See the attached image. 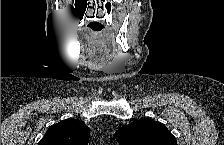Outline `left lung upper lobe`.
Wrapping results in <instances>:
<instances>
[{
  "label": "left lung upper lobe",
  "mask_w": 224,
  "mask_h": 145,
  "mask_svg": "<svg viewBox=\"0 0 224 145\" xmlns=\"http://www.w3.org/2000/svg\"><path fill=\"white\" fill-rule=\"evenodd\" d=\"M120 145H177L167 127L152 119H141L115 132Z\"/></svg>",
  "instance_id": "5c2ea615"
}]
</instances>
